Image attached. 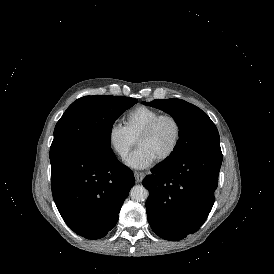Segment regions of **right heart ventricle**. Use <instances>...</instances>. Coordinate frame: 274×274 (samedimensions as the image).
Segmentation results:
<instances>
[{
  "mask_svg": "<svg viewBox=\"0 0 274 274\" xmlns=\"http://www.w3.org/2000/svg\"><path fill=\"white\" fill-rule=\"evenodd\" d=\"M160 112L147 107H140L124 116V128L132 139L137 135L157 116Z\"/></svg>",
  "mask_w": 274,
  "mask_h": 274,
  "instance_id": "1",
  "label": "right heart ventricle"
}]
</instances>
